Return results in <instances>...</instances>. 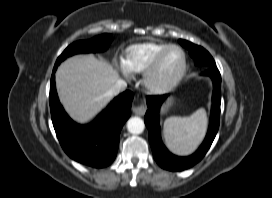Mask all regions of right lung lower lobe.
Listing matches in <instances>:
<instances>
[{
  "instance_id": "right-lung-lower-lobe-1",
  "label": "right lung lower lobe",
  "mask_w": 272,
  "mask_h": 198,
  "mask_svg": "<svg viewBox=\"0 0 272 198\" xmlns=\"http://www.w3.org/2000/svg\"><path fill=\"white\" fill-rule=\"evenodd\" d=\"M54 66L50 82V109L58 140L69 157L77 162L102 168L115 159L121 128L131 115L133 93L125 91L89 125L72 121L59 102Z\"/></svg>"
}]
</instances>
